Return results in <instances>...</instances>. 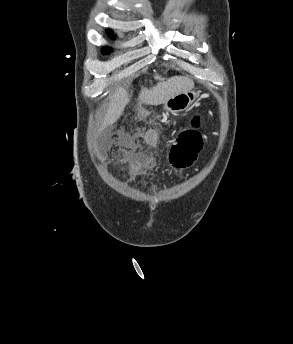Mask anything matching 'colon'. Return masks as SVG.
Listing matches in <instances>:
<instances>
[{"instance_id":"5ec220e1","label":"colon","mask_w":293,"mask_h":344,"mask_svg":"<svg viewBox=\"0 0 293 344\" xmlns=\"http://www.w3.org/2000/svg\"><path fill=\"white\" fill-rule=\"evenodd\" d=\"M201 126V116L194 115L186 127L182 128L176 139L172 150L173 164L179 168L191 165L199 151L202 149L203 141L198 131ZM129 132L123 131L117 135L119 138H126ZM145 166V159L137 156L132 160V167L135 171H140Z\"/></svg>"}]
</instances>
